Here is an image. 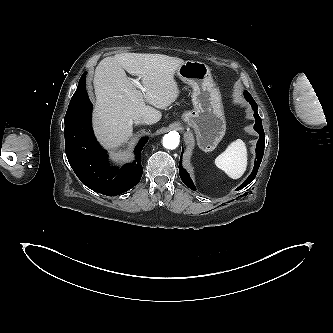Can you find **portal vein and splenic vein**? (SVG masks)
Returning <instances> with one entry per match:
<instances>
[{"mask_svg":"<svg viewBox=\"0 0 333 333\" xmlns=\"http://www.w3.org/2000/svg\"><path fill=\"white\" fill-rule=\"evenodd\" d=\"M133 83L140 89V91L142 92V93H145L147 90H146V88H144L141 84H140V82H139V79H135V80H133Z\"/></svg>","mask_w":333,"mask_h":333,"instance_id":"portal-vein-and-splenic-vein-1","label":"portal vein and splenic vein"}]
</instances>
